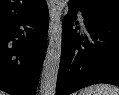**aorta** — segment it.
I'll use <instances>...</instances> for the list:
<instances>
[{"label":"aorta","mask_w":119,"mask_h":95,"mask_svg":"<svg viewBox=\"0 0 119 95\" xmlns=\"http://www.w3.org/2000/svg\"><path fill=\"white\" fill-rule=\"evenodd\" d=\"M68 0H55L56 15L41 74L40 95H55L62 50V10Z\"/></svg>","instance_id":"762f6f07"}]
</instances>
